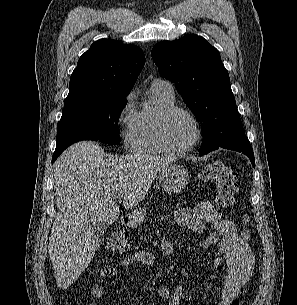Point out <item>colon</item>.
Instances as JSON below:
<instances>
[{"mask_svg":"<svg viewBox=\"0 0 297 305\" xmlns=\"http://www.w3.org/2000/svg\"><path fill=\"white\" fill-rule=\"evenodd\" d=\"M199 178L202 182L215 186V205L218 210L229 209L234 204L237 192V173L223 162L215 161L204 166ZM128 248V238L125 230H114L107 240V249L115 254H122ZM241 299H235L232 305H241Z\"/></svg>","mask_w":297,"mask_h":305,"instance_id":"5ec220e1","label":"colon"}]
</instances>
